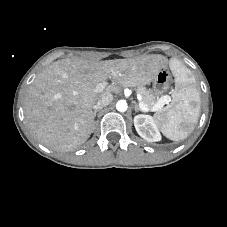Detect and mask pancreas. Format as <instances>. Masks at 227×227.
<instances>
[{
  "label": "pancreas",
  "instance_id": "cf45deb5",
  "mask_svg": "<svg viewBox=\"0 0 227 227\" xmlns=\"http://www.w3.org/2000/svg\"><path fill=\"white\" fill-rule=\"evenodd\" d=\"M137 93L141 96L142 102L148 107L149 111H153V107L159 101V98L143 86L137 87Z\"/></svg>",
  "mask_w": 227,
  "mask_h": 227
}]
</instances>
